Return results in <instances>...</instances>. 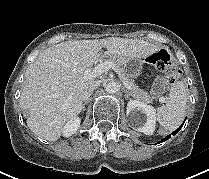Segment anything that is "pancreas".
Listing matches in <instances>:
<instances>
[{
    "instance_id": "cf45deb5",
    "label": "pancreas",
    "mask_w": 209,
    "mask_h": 179,
    "mask_svg": "<svg viewBox=\"0 0 209 179\" xmlns=\"http://www.w3.org/2000/svg\"><path fill=\"white\" fill-rule=\"evenodd\" d=\"M109 61H111L115 67L118 69V71L123 72L121 63L113 58H109ZM122 78L127 81V83L130 85L129 93L131 96L143 103H152L153 99L151 96L146 92L140 89L134 82L129 81L124 74L122 75Z\"/></svg>"
}]
</instances>
